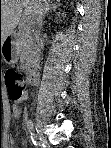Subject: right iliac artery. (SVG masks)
Returning a JSON list of instances; mask_svg holds the SVG:
<instances>
[{"instance_id": "1", "label": "right iliac artery", "mask_w": 111, "mask_h": 148, "mask_svg": "<svg viewBox=\"0 0 111 148\" xmlns=\"http://www.w3.org/2000/svg\"><path fill=\"white\" fill-rule=\"evenodd\" d=\"M26 127L28 128L29 132L31 133V139H32L33 143L36 145L37 137L35 135L36 131H35V127H34L33 122L31 120H27Z\"/></svg>"}]
</instances>
